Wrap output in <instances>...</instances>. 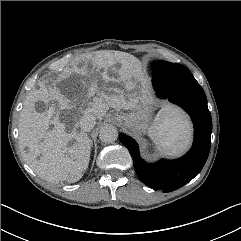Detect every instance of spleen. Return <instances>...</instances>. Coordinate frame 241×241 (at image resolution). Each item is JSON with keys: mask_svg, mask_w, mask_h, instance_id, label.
Segmentation results:
<instances>
[{"mask_svg": "<svg viewBox=\"0 0 241 241\" xmlns=\"http://www.w3.org/2000/svg\"><path fill=\"white\" fill-rule=\"evenodd\" d=\"M191 132L187 116L178 108L166 105L150 126L148 135L159 151L179 156L190 145Z\"/></svg>", "mask_w": 241, "mask_h": 241, "instance_id": "obj_1", "label": "spleen"}]
</instances>
